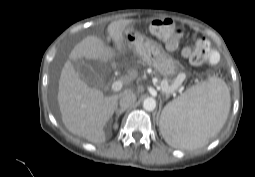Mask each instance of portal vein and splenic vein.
I'll list each match as a JSON object with an SVG mask.
<instances>
[{
    "instance_id": "portal-vein-and-splenic-vein-1",
    "label": "portal vein and splenic vein",
    "mask_w": 255,
    "mask_h": 177,
    "mask_svg": "<svg viewBox=\"0 0 255 177\" xmlns=\"http://www.w3.org/2000/svg\"><path fill=\"white\" fill-rule=\"evenodd\" d=\"M178 87V84H175L174 86H166L162 88V91L166 93H173ZM122 89V82L121 81H115L112 84V90L117 92Z\"/></svg>"
}]
</instances>
